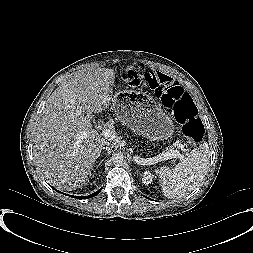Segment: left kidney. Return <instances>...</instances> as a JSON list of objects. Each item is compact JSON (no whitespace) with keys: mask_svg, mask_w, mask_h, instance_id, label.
I'll list each match as a JSON object with an SVG mask.
<instances>
[{"mask_svg":"<svg viewBox=\"0 0 253 253\" xmlns=\"http://www.w3.org/2000/svg\"><path fill=\"white\" fill-rule=\"evenodd\" d=\"M152 180H153L152 174L149 171H145L142 178L143 183L148 185L152 182Z\"/></svg>","mask_w":253,"mask_h":253,"instance_id":"1","label":"left kidney"}]
</instances>
